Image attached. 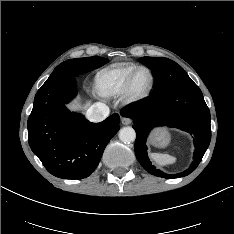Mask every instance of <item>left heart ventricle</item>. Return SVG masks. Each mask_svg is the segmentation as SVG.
I'll return each instance as SVG.
<instances>
[{"label":"left heart ventricle","instance_id":"obj_1","mask_svg":"<svg viewBox=\"0 0 234 234\" xmlns=\"http://www.w3.org/2000/svg\"><path fill=\"white\" fill-rule=\"evenodd\" d=\"M150 80L151 78L148 71H139L133 81V92L137 94L145 92L149 87Z\"/></svg>","mask_w":234,"mask_h":234}]
</instances>
